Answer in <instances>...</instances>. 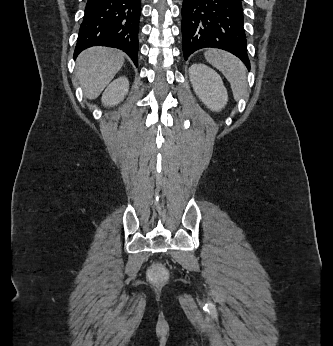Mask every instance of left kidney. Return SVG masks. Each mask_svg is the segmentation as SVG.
Listing matches in <instances>:
<instances>
[{
  "instance_id": "obj_1",
  "label": "left kidney",
  "mask_w": 333,
  "mask_h": 346,
  "mask_svg": "<svg viewBox=\"0 0 333 346\" xmlns=\"http://www.w3.org/2000/svg\"><path fill=\"white\" fill-rule=\"evenodd\" d=\"M190 81L199 99L212 111L227 104L228 93L220 75L207 65L196 63L189 68Z\"/></svg>"
}]
</instances>
